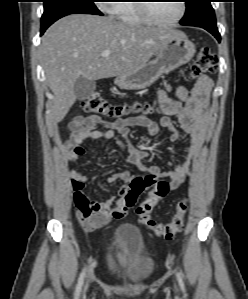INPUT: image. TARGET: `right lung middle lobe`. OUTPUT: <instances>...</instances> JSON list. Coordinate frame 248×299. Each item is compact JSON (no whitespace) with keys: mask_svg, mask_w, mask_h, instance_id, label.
Segmentation results:
<instances>
[{"mask_svg":"<svg viewBox=\"0 0 248 299\" xmlns=\"http://www.w3.org/2000/svg\"><path fill=\"white\" fill-rule=\"evenodd\" d=\"M78 13L103 15L95 6L94 0H44L41 29L48 28L63 16Z\"/></svg>","mask_w":248,"mask_h":299,"instance_id":"right-lung-middle-lobe-1","label":"right lung middle lobe"}]
</instances>
